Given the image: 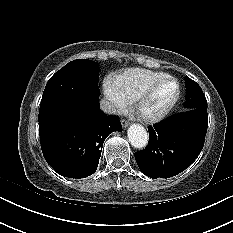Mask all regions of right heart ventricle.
Segmentation results:
<instances>
[{
    "mask_svg": "<svg viewBox=\"0 0 233 233\" xmlns=\"http://www.w3.org/2000/svg\"><path fill=\"white\" fill-rule=\"evenodd\" d=\"M165 76L161 72L132 68L116 75L114 80L118 91L128 100L133 101L147 86Z\"/></svg>",
    "mask_w": 233,
    "mask_h": 233,
    "instance_id": "right-heart-ventricle-1",
    "label": "right heart ventricle"
}]
</instances>
